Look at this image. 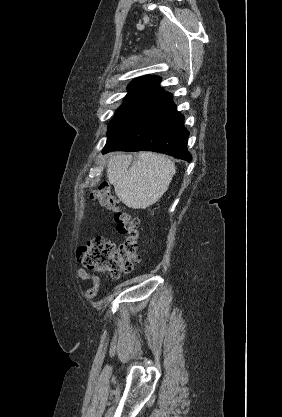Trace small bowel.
Masks as SVG:
<instances>
[{
    "label": "small bowel",
    "mask_w": 282,
    "mask_h": 417,
    "mask_svg": "<svg viewBox=\"0 0 282 417\" xmlns=\"http://www.w3.org/2000/svg\"><path fill=\"white\" fill-rule=\"evenodd\" d=\"M75 275L78 279L91 283V286L88 287L85 291V298L87 300L94 299L96 297L97 293H98V290H99V285H100L99 277L94 275V274H91V273L87 272L83 268L76 269L75 270Z\"/></svg>",
    "instance_id": "small-bowel-1"
}]
</instances>
